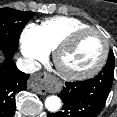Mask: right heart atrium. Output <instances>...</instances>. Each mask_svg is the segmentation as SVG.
<instances>
[{
	"instance_id": "1",
	"label": "right heart atrium",
	"mask_w": 117,
	"mask_h": 117,
	"mask_svg": "<svg viewBox=\"0 0 117 117\" xmlns=\"http://www.w3.org/2000/svg\"><path fill=\"white\" fill-rule=\"evenodd\" d=\"M20 46L24 58L30 65H36L44 60L49 53L40 39L38 26L34 24H29L23 29Z\"/></svg>"
}]
</instances>
